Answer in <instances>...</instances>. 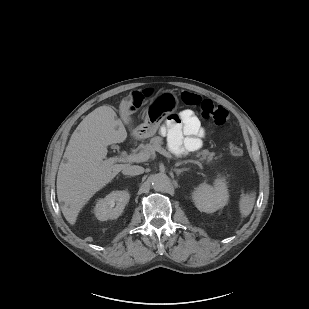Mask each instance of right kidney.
<instances>
[{
	"instance_id": "right-kidney-1",
	"label": "right kidney",
	"mask_w": 309,
	"mask_h": 309,
	"mask_svg": "<svg viewBox=\"0 0 309 309\" xmlns=\"http://www.w3.org/2000/svg\"><path fill=\"white\" fill-rule=\"evenodd\" d=\"M130 196L127 191H113L105 198L98 200L94 213L98 220L116 219L123 212Z\"/></svg>"
}]
</instances>
